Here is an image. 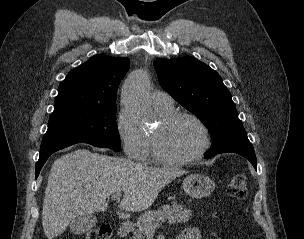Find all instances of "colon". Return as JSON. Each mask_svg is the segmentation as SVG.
<instances>
[{
    "label": "colon",
    "mask_w": 304,
    "mask_h": 239,
    "mask_svg": "<svg viewBox=\"0 0 304 239\" xmlns=\"http://www.w3.org/2000/svg\"><path fill=\"white\" fill-rule=\"evenodd\" d=\"M227 194L237 202H242L247 196V177L238 173L233 175L227 184ZM111 228L109 225H101L83 234L79 239H110Z\"/></svg>",
    "instance_id": "5ec220e1"
}]
</instances>
